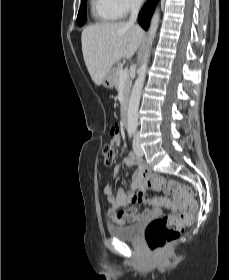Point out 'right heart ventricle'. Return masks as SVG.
Segmentation results:
<instances>
[{
	"label": "right heart ventricle",
	"mask_w": 229,
	"mask_h": 280,
	"mask_svg": "<svg viewBox=\"0 0 229 280\" xmlns=\"http://www.w3.org/2000/svg\"><path fill=\"white\" fill-rule=\"evenodd\" d=\"M91 12L93 18L99 24H108L119 19L108 0H91Z\"/></svg>",
	"instance_id": "1"
}]
</instances>
